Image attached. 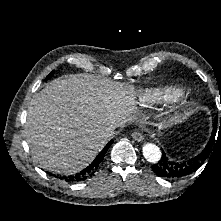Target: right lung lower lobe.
<instances>
[{
  "label": "right lung lower lobe",
  "mask_w": 221,
  "mask_h": 221,
  "mask_svg": "<svg viewBox=\"0 0 221 221\" xmlns=\"http://www.w3.org/2000/svg\"><path fill=\"white\" fill-rule=\"evenodd\" d=\"M113 141H110L104 148L103 150L97 155V157L94 159V161L87 166L85 169H83L81 172L75 174V175H70V176H60L58 178L66 181V182H78L85 180L87 177L92 176L97 168L99 167L100 163L103 161L104 156L111 146ZM53 176L56 177V175L52 174Z\"/></svg>",
  "instance_id": "1"
}]
</instances>
